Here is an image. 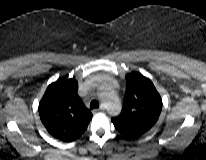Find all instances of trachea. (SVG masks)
<instances>
[{"instance_id":"3493384b","label":"trachea","mask_w":206,"mask_h":160,"mask_svg":"<svg viewBox=\"0 0 206 160\" xmlns=\"http://www.w3.org/2000/svg\"><path fill=\"white\" fill-rule=\"evenodd\" d=\"M99 107V103L97 100H92L91 103H90V108L91 109H95V108H98Z\"/></svg>"}]
</instances>
